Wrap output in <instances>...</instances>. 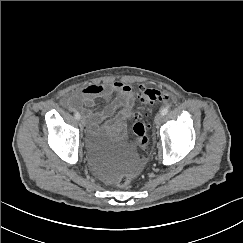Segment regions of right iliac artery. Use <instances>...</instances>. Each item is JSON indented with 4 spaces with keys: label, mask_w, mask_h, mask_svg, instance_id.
Wrapping results in <instances>:
<instances>
[{
    "label": "right iliac artery",
    "mask_w": 243,
    "mask_h": 243,
    "mask_svg": "<svg viewBox=\"0 0 243 243\" xmlns=\"http://www.w3.org/2000/svg\"><path fill=\"white\" fill-rule=\"evenodd\" d=\"M75 118L77 119V120H79L80 119V114L77 112V113H75Z\"/></svg>",
    "instance_id": "1"
}]
</instances>
